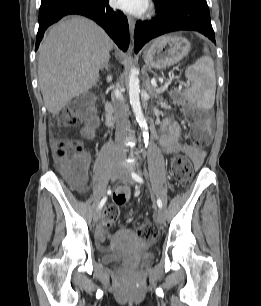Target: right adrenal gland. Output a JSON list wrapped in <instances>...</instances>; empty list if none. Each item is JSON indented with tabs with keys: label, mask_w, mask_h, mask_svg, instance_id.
I'll use <instances>...</instances> for the list:
<instances>
[{
	"label": "right adrenal gland",
	"mask_w": 261,
	"mask_h": 306,
	"mask_svg": "<svg viewBox=\"0 0 261 306\" xmlns=\"http://www.w3.org/2000/svg\"><path fill=\"white\" fill-rule=\"evenodd\" d=\"M110 56H109V58H108V60L106 61V63H104V65L100 68L101 70H103L104 68L106 69V70H108L109 69V61H110Z\"/></svg>",
	"instance_id": "1"
}]
</instances>
